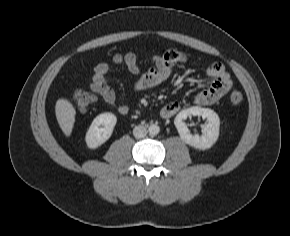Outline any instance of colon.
<instances>
[{
    "label": "colon",
    "instance_id": "obj_1",
    "mask_svg": "<svg viewBox=\"0 0 290 236\" xmlns=\"http://www.w3.org/2000/svg\"><path fill=\"white\" fill-rule=\"evenodd\" d=\"M73 101L80 111H86L94 102V97L89 92L78 90L73 95ZM230 101L237 105L243 101V94L239 91H234L230 94Z\"/></svg>",
    "mask_w": 290,
    "mask_h": 236
}]
</instances>
